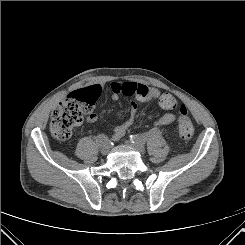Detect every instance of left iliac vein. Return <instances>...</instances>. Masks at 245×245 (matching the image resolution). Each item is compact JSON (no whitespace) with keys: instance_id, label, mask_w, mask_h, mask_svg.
<instances>
[{"instance_id":"1","label":"left iliac vein","mask_w":245,"mask_h":245,"mask_svg":"<svg viewBox=\"0 0 245 245\" xmlns=\"http://www.w3.org/2000/svg\"><path fill=\"white\" fill-rule=\"evenodd\" d=\"M127 144L139 151L141 154L145 153V147L143 144L136 143L134 141H128Z\"/></svg>"}]
</instances>
